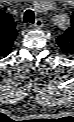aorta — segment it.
<instances>
[{
    "instance_id": "aorta-1",
    "label": "aorta",
    "mask_w": 74,
    "mask_h": 122,
    "mask_svg": "<svg viewBox=\"0 0 74 122\" xmlns=\"http://www.w3.org/2000/svg\"><path fill=\"white\" fill-rule=\"evenodd\" d=\"M35 8L38 12L44 13L45 11H47V4L44 1L37 2L35 3ZM50 21L53 26H57L60 22V18L59 16H56V17L51 18Z\"/></svg>"
}]
</instances>
